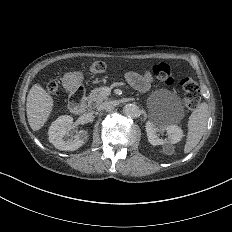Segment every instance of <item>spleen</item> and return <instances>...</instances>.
I'll return each mask as SVG.
<instances>
[{
  "mask_svg": "<svg viewBox=\"0 0 232 232\" xmlns=\"http://www.w3.org/2000/svg\"><path fill=\"white\" fill-rule=\"evenodd\" d=\"M208 104L203 102L192 112L188 121L187 141L184 152L189 153L200 142L208 122Z\"/></svg>",
  "mask_w": 232,
  "mask_h": 232,
  "instance_id": "3e777b00",
  "label": "spleen"
}]
</instances>
